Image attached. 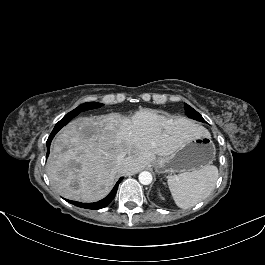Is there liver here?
<instances>
[{"mask_svg":"<svg viewBox=\"0 0 265 265\" xmlns=\"http://www.w3.org/2000/svg\"><path fill=\"white\" fill-rule=\"evenodd\" d=\"M208 133L186 118H167L142 109L131 118L118 113L81 117L52 143L47 162L51 185L63 197L96 202L113 188L115 177L134 174L177 150L186 137ZM123 155L118 167L117 157Z\"/></svg>","mask_w":265,"mask_h":265,"instance_id":"1","label":"liver"}]
</instances>
